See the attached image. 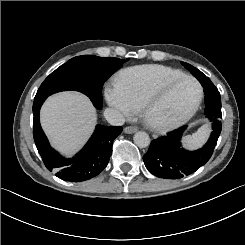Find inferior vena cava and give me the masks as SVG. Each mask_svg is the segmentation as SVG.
<instances>
[{"label":"inferior vena cava","instance_id":"1","mask_svg":"<svg viewBox=\"0 0 245 245\" xmlns=\"http://www.w3.org/2000/svg\"><path fill=\"white\" fill-rule=\"evenodd\" d=\"M104 117L113 126L122 125L125 121L123 114L112 107L104 109Z\"/></svg>","mask_w":245,"mask_h":245}]
</instances>
